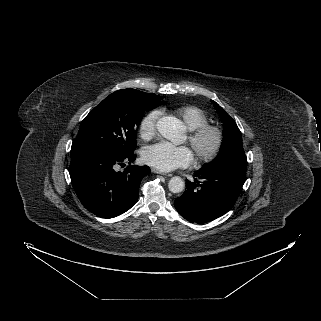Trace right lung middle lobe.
Returning a JSON list of instances; mask_svg holds the SVG:
<instances>
[{"mask_svg": "<svg viewBox=\"0 0 321 321\" xmlns=\"http://www.w3.org/2000/svg\"><path fill=\"white\" fill-rule=\"evenodd\" d=\"M162 99L135 89L115 91L84 118L71 153L88 150L114 157L133 153L143 114L162 105Z\"/></svg>", "mask_w": 321, "mask_h": 321, "instance_id": "obj_1", "label": "right lung middle lobe"}]
</instances>
